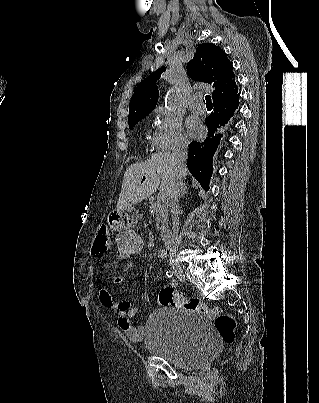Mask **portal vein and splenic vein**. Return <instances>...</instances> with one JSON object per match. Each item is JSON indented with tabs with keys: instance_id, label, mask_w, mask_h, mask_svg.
<instances>
[{
	"instance_id": "portal-vein-and-splenic-vein-1",
	"label": "portal vein and splenic vein",
	"mask_w": 319,
	"mask_h": 403,
	"mask_svg": "<svg viewBox=\"0 0 319 403\" xmlns=\"http://www.w3.org/2000/svg\"><path fill=\"white\" fill-rule=\"evenodd\" d=\"M161 191V190H160ZM162 198L164 197V193H161Z\"/></svg>"
}]
</instances>
